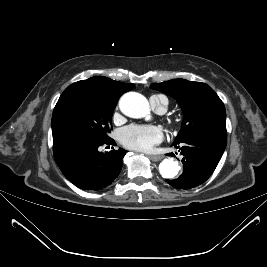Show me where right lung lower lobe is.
Returning <instances> with one entry per match:
<instances>
[{"label":"right lung lower lobe","mask_w":267,"mask_h":267,"mask_svg":"<svg viewBox=\"0 0 267 267\" xmlns=\"http://www.w3.org/2000/svg\"><path fill=\"white\" fill-rule=\"evenodd\" d=\"M104 144L116 145L111 138L103 142L71 140L55 145L53 153L57 165L70 182L78 188L97 191L118 177L127 153L121 148L100 152L98 148Z\"/></svg>","instance_id":"1"}]
</instances>
